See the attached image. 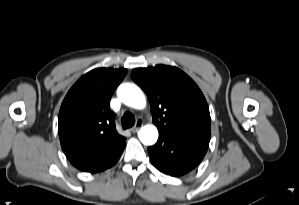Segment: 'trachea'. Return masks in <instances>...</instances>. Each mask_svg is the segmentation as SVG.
Instances as JSON below:
<instances>
[{"label":"trachea","instance_id":"1","mask_svg":"<svg viewBox=\"0 0 299 205\" xmlns=\"http://www.w3.org/2000/svg\"><path fill=\"white\" fill-rule=\"evenodd\" d=\"M121 123L124 129L132 127L135 124L134 115L130 112H126L121 119Z\"/></svg>","mask_w":299,"mask_h":205}]
</instances>
